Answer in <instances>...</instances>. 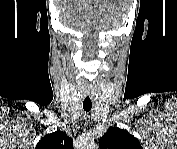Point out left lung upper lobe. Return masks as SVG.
Here are the masks:
<instances>
[{
	"instance_id": "left-lung-upper-lobe-1",
	"label": "left lung upper lobe",
	"mask_w": 177,
	"mask_h": 149,
	"mask_svg": "<svg viewBox=\"0 0 177 149\" xmlns=\"http://www.w3.org/2000/svg\"><path fill=\"white\" fill-rule=\"evenodd\" d=\"M99 143L101 149H141L137 138L118 127L109 128Z\"/></svg>"
}]
</instances>
